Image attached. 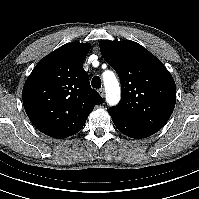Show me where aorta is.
<instances>
[{
  "mask_svg": "<svg viewBox=\"0 0 199 199\" xmlns=\"http://www.w3.org/2000/svg\"><path fill=\"white\" fill-rule=\"evenodd\" d=\"M103 82L106 91V102L110 106L117 105L121 98V90L115 74L112 71L104 72Z\"/></svg>",
  "mask_w": 199,
  "mask_h": 199,
  "instance_id": "obj_1",
  "label": "aorta"
}]
</instances>
